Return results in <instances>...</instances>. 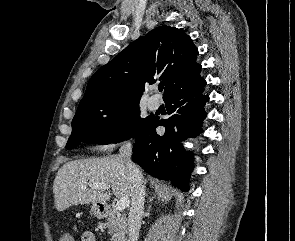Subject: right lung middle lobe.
Masks as SVG:
<instances>
[{
	"label": "right lung middle lobe",
	"mask_w": 295,
	"mask_h": 241,
	"mask_svg": "<svg viewBox=\"0 0 295 241\" xmlns=\"http://www.w3.org/2000/svg\"><path fill=\"white\" fill-rule=\"evenodd\" d=\"M152 117H140L139 102L113 99L80 105L66 148L72 149L82 141L91 144L121 142L137 135Z\"/></svg>",
	"instance_id": "obj_1"
}]
</instances>
